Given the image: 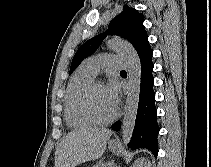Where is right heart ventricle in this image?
<instances>
[{
	"instance_id": "e07e8e85",
	"label": "right heart ventricle",
	"mask_w": 211,
	"mask_h": 167,
	"mask_svg": "<svg viewBox=\"0 0 211 167\" xmlns=\"http://www.w3.org/2000/svg\"><path fill=\"white\" fill-rule=\"evenodd\" d=\"M94 78L95 76L81 66L68 84L64 100L65 119L72 129H85L94 125L81 109L82 94Z\"/></svg>"
}]
</instances>
